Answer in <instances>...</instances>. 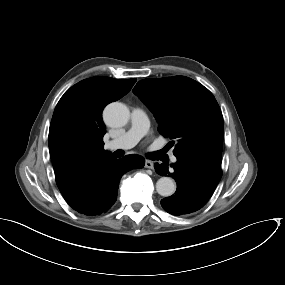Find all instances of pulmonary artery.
<instances>
[{
    "mask_svg": "<svg viewBox=\"0 0 285 285\" xmlns=\"http://www.w3.org/2000/svg\"><path fill=\"white\" fill-rule=\"evenodd\" d=\"M149 123L143 110L135 108L131 113V127L118 138L107 141L104 149L114 151L117 149H130L148 132Z\"/></svg>",
    "mask_w": 285,
    "mask_h": 285,
    "instance_id": "e3ab8cb5",
    "label": "pulmonary artery"
}]
</instances>
